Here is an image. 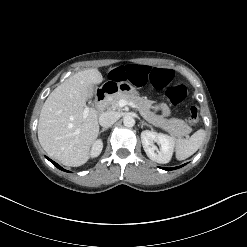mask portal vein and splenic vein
Segmentation results:
<instances>
[{
  "label": "portal vein and splenic vein",
  "instance_id": "1",
  "mask_svg": "<svg viewBox=\"0 0 247 247\" xmlns=\"http://www.w3.org/2000/svg\"><path fill=\"white\" fill-rule=\"evenodd\" d=\"M126 105H129V106H131V107H133V108H138L134 103H132V102H127L126 100H120L119 102H118V106L119 107H124V106H126ZM89 107H86L85 109H84V112H83V118H86L87 117V115H88V113H89Z\"/></svg>",
  "mask_w": 247,
  "mask_h": 247
}]
</instances>
